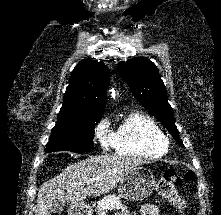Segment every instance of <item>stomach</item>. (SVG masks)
<instances>
[{
    "label": "stomach",
    "instance_id": "obj_1",
    "mask_svg": "<svg viewBox=\"0 0 221 215\" xmlns=\"http://www.w3.org/2000/svg\"><path fill=\"white\" fill-rule=\"evenodd\" d=\"M155 178L144 167L132 169L119 183L118 194L130 201H141L149 197L155 187ZM72 215H91L89 206L77 204L72 208Z\"/></svg>",
    "mask_w": 221,
    "mask_h": 215
}]
</instances>
